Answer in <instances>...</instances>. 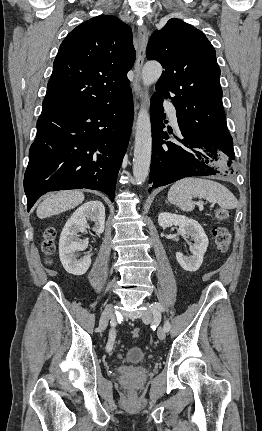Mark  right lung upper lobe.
I'll list each match as a JSON object with an SVG mask.
<instances>
[{"mask_svg": "<svg viewBox=\"0 0 262 431\" xmlns=\"http://www.w3.org/2000/svg\"><path fill=\"white\" fill-rule=\"evenodd\" d=\"M132 30L101 15L73 29L61 43L47 85L43 111L85 109L118 101L135 62Z\"/></svg>", "mask_w": 262, "mask_h": 431, "instance_id": "cb5924a9", "label": "right lung upper lobe"}]
</instances>
